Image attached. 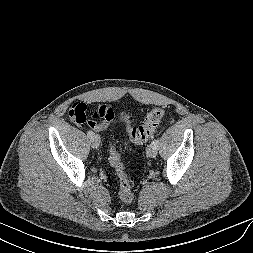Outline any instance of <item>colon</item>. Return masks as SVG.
Returning <instances> with one entry per match:
<instances>
[{"mask_svg":"<svg viewBox=\"0 0 253 253\" xmlns=\"http://www.w3.org/2000/svg\"><path fill=\"white\" fill-rule=\"evenodd\" d=\"M163 117L164 110L156 107L147 114L140 125L134 126L132 125V118L128 113L122 112L119 115V118L126 124L130 139L137 144L144 143L153 136ZM69 118L78 124H90L93 118V112L85 104L79 103L71 107L69 110ZM109 163L119 180V199L126 204L132 202L134 194L128 175L125 172L116 140H113L109 145Z\"/></svg>","mask_w":253,"mask_h":253,"instance_id":"colon-1","label":"colon"}]
</instances>
